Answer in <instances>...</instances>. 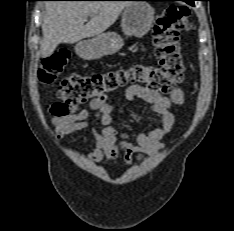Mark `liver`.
Here are the masks:
<instances>
[{
	"label": "liver",
	"instance_id": "1",
	"mask_svg": "<svg viewBox=\"0 0 234 231\" xmlns=\"http://www.w3.org/2000/svg\"><path fill=\"white\" fill-rule=\"evenodd\" d=\"M128 1H49L42 23L41 56L52 55L60 43L73 44L107 30ZM88 16L91 20L84 25Z\"/></svg>",
	"mask_w": 234,
	"mask_h": 231
}]
</instances>
